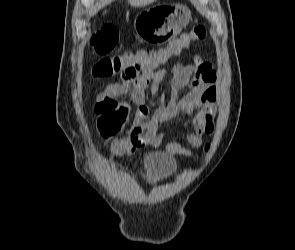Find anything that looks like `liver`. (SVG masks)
I'll list each match as a JSON object with an SVG mask.
<instances>
[{"mask_svg": "<svg viewBox=\"0 0 295 250\" xmlns=\"http://www.w3.org/2000/svg\"><path fill=\"white\" fill-rule=\"evenodd\" d=\"M156 0H129V3L135 7H143L155 2Z\"/></svg>", "mask_w": 295, "mask_h": 250, "instance_id": "1", "label": "liver"}]
</instances>
